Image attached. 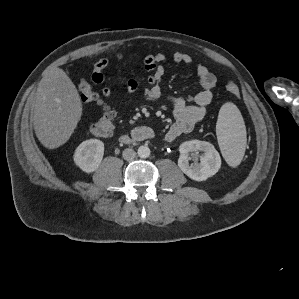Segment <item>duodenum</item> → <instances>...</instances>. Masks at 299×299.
Listing matches in <instances>:
<instances>
[{
	"label": "duodenum",
	"instance_id": "obj_1",
	"mask_svg": "<svg viewBox=\"0 0 299 299\" xmlns=\"http://www.w3.org/2000/svg\"><path fill=\"white\" fill-rule=\"evenodd\" d=\"M154 137V132L149 127H138L133 130L130 135H122L121 141L124 143H129L132 141H143L152 139Z\"/></svg>",
	"mask_w": 299,
	"mask_h": 299
}]
</instances>
